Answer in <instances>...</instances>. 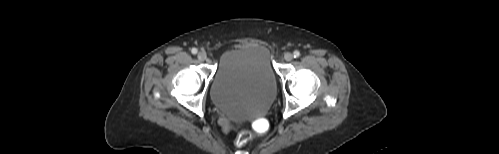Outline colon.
Wrapping results in <instances>:
<instances>
[{"label": "colon", "mask_w": 499, "mask_h": 154, "mask_svg": "<svg viewBox=\"0 0 499 154\" xmlns=\"http://www.w3.org/2000/svg\"><path fill=\"white\" fill-rule=\"evenodd\" d=\"M224 128H227V122L225 120L221 121ZM253 129L257 133H264L268 130V124L265 121H256L253 124ZM252 138V134L249 131L241 132L236 139V144L238 146L245 145Z\"/></svg>", "instance_id": "1"}]
</instances>
